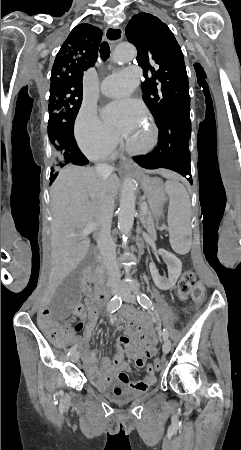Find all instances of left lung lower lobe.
Wrapping results in <instances>:
<instances>
[{"mask_svg":"<svg viewBox=\"0 0 241 450\" xmlns=\"http://www.w3.org/2000/svg\"><path fill=\"white\" fill-rule=\"evenodd\" d=\"M157 125V147L146 156L135 157V162L146 169L166 168L176 171L192 184L188 149L191 135L190 103L177 106L161 118Z\"/></svg>","mask_w":241,"mask_h":450,"instance_id":"1","label":"left lung lower lobe"}]
</instances>
